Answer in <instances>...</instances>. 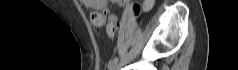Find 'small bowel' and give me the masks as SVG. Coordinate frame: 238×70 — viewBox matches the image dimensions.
I'll list each match as a JSON object with an SVG mask.
<instances>
[{
    "label": "small bowel",
    "mask_w": 238,
    "mask_h": 70,
    "mask_svg": "<svg viewBox=\"0 0 238 70\" xmlns=\"http://www.w3.org/2000/svg\"><path fill=\"white\" fill-rule=\"evenodd\" d=\"M113 3L123 5L122 0H112ZM82 4L91 10L90 20L96 27L103 26L109 19H118L106 9L107 0H82Z\"/></svg>",
    "instance_id": "small-bowel-1"
}]
</instances>
